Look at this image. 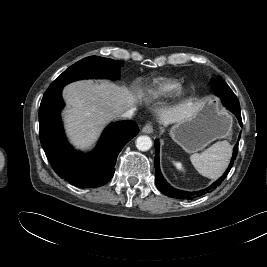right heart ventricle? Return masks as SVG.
I'll return each mask as SVG.
<instances>
[{
	"label": "right heart ventricle",
	"instance_id": "right-heart-ventricle-1",
	"mask_svg": "<svg viewBox=\"0 0 267 267\" xmlns=\"http://www.w3.org/2000/svg\"><path fill=\"white\" fill-rule=\"evenodd\" d=\"M178 86L177 82L158 79L144 90L143 97L148 101L162 99L172 94Z\"/></svg>",
	"mask_w": 267,
	"mask_h": 267
}]
</instances>
